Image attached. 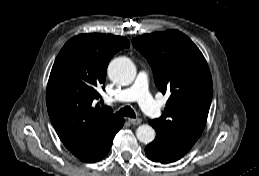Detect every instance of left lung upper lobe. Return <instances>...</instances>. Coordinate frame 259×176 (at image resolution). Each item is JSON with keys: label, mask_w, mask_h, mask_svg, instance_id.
Listing matches in <instances>:
<instances>
[{"label": "left lung upper lobe", "mask_w": 259, "mask_h": 176, "mask_svg": "<svg viewBox=\"0 0 259 176\" xmlns=\"http://www.w3.org/2000/svg\"><path fill=\"white\" fill-rule=\"evenodd\" d=\"M132 43L150 63L158 89L170 93L162 116L152 121L156 133L193 146L204 130L213 94L204 56L177 30L145 34Z\"/></svg>", "instance_id": "left-lung-upper-lobe-1"}]
</instances>
